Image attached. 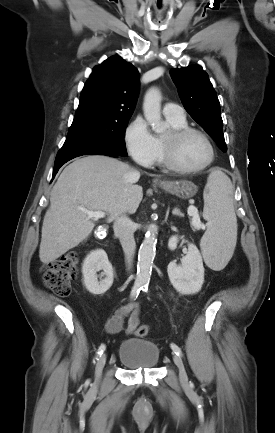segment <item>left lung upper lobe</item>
I'll use <instances>...</instances> for the list:
<instances>
[{
	"label": "left lung upper lobe",
	"mask_w": 275,
	"mask_h": 433,
	"mask_svg": "<svg viewBox=\"0 0 275 433\" xmlns=\"http://www.w3.org/2000/svg\"><path fill=\"white\" fill-rule=\"evenodd\" d=\"M170 74L186 111L226 152L220 103L208 74L199 65L173 68Z\"/></svg>",
	"instance_id": "left-lung-upper-lobe-1"
}]
</instances>
